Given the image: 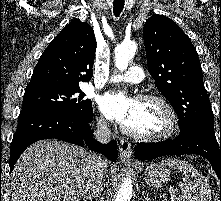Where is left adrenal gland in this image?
I'll return each instance as SVG.
<instances>
[{"label": "left adrenal gland", "instance_id": "a2214340", "mask_svg": "<svg viewBox=\"0 0 221 201\" xmlns=\"http://www.w3.org/2000/svg\"><path fill=\"white\" fill-rule=\"evenodd\" d=\"M143 201H151L150 200V197H149V194H146L145 196H144V200Z\"/></svg>", "mask_w": 221, "mask_h": 201}]
</instances>
